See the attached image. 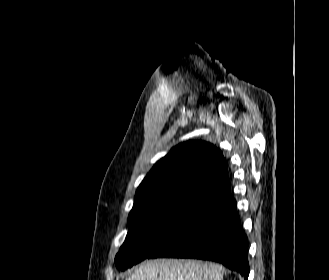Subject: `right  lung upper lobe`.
Here are the masks:
<instances>
[{
    "label": "right lung upper lobe",
    "mask_w": 329,
    "mask_h": 280,
    "mask_svg": "<svg viewBox=\"0 0 329 280\" xmlns=\"http://www.w3.org/2000/svg\"><path fill=\"white\" fill-rule=\"evenodd\" d=\"M227 183L226 161L216 146L190 140L160 159L139 185L133 209L177 196L207 200Z\"/></svg>",
    "instance_id": "cb5924a9"
}]
</instances>
